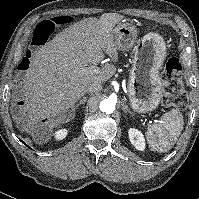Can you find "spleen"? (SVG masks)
Instances as JSON below:
<instances>
[{
    "mask_svg": "<svg viewBox=\"0 0 199 199\" xmlns=\"http://www.w3.org/2000/svg\"><path fill=\"white\" fill-rule=\"evenodd\" d=\"M184 126L182 113L172 109L164 114L158 123L150 125L146 132L147 142L152 151L167 152L176 143Z\"/></svg>",
    "mask_w": 199,
    "mask_h": 199,
    "instance_id": "spleen-1",
    "label": "spleen"
}]
</instances>
